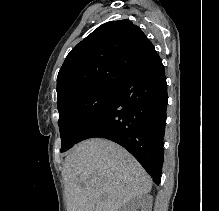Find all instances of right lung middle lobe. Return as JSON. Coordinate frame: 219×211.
Returning a JSON list of instances; mask_svg holds the SVG:
<instances>
[{
    "instance_id": "right-lung-middle-lobe-1",
    "label": "right lung middle lobe",
    "mask_w": 219,
    "mask_h": 211,
    "mask_svg": "<svg viewBox=\"0 0 219 211\" xmlns=\"http://www.w3.org/2000/svg\"><path fill=\"white\" fill-rule=\"evenodd\" d=\"M116 85H98L58 102L61 152L70 149L85 128L103 110Z\"/></svg>"
}]
</instances>
